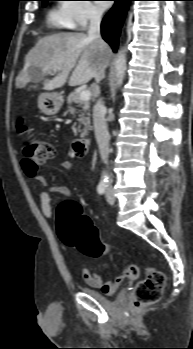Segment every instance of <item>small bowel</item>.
Returning a JSON list of instances; mask_svg holds the SVG:
<instances>
[{"mask_svg": "<svg viewBox=\"0 0 193 349\" xmlns=\"http://www.w3.org/2000/svg\"><path fill=\"white\" fill-rule=\"evenodd\" d=\"M22 166H23L24 172L28 177L33 178L42 186L47 185V180L44 175L39 173V168H35L32 164L26 162L25 160H23ZM61 166L64 169L71 170L73 168V162L67 159L61 163ZM54 191L63 196L70 195L69 189L61 185L55 186ZM39 200H40V208L43 215L46 218H51L52 217V201H51L50 193L45 190L42 191L39 195ZM138 274H139L138 268L134 265H131V266H128L120 275L115 277L113 280L105 282L103 278L98 274L93 273L87 269L83 271V277L91 287L100 288L108 294L113 293L120 286V284L123 282L124 279H130V280L136 279L138 277Z\"/></svg>", "mask_w": 193, "mask_h": 349, "instance_id": "c3829d8e", "label": "small bowel"}]
</instances>
